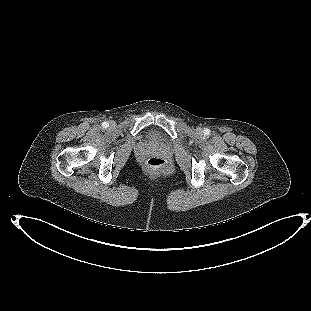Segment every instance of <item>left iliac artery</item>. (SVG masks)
I'll return each mask as SVG.
<instances>
[{"label": "left iliac artery", "instance_id": "44dca946", "mask_svg": "<svg viewBox=\"0 0 311 311\" xmlns=\"http://www.w3.org/2000/svg\"><path fill=\"white\" fill-rule=\"evenodd\" d=\"M204 133L208 135V134L210 133V130H209L208 128H206V129L204 130Z\"/></svg>", "mask_w": 311, "mask_h": 311}]
</instances>
